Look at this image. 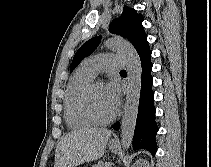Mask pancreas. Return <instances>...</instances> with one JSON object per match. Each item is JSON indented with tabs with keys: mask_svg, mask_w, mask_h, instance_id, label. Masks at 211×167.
<instances>
[{
	"mask_svg": "<svg viewBox=\"0 0 211 167\" xmlns=\"http://www.w3.org/2000/svg\"><path fill=\"white\" fill-rule=\"evenodd\" d=\"M92 167H112L111 163H103V162H99L96 165H93Z\"/></svg>",
	"mask_w": 211,
	"mask_h": 167,
	"instance_id": "cf45deb5",
	"label": "pancreas"
}]
</instances>
